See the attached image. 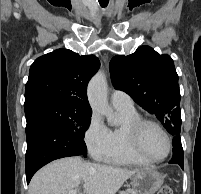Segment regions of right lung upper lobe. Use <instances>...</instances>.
<instances>
[{
	"label": "right lung upper lobe",
	"mask_w": 201,
	"mask_h": 194,
	"mask_svg": "<svg viewBox=\"0 0 201 194\" xmlns=\"http://www.w3.org/2000/svg\"><path fill=\"white\" fill-rule=\"evenodd\" d=\"M99 66L96 56H80L68 49H58L37 58L30 67L25 104L41 98H55L92 114L87 84Z\"/></svg>",
	"instance_id": "cb5924a9"
}]
</instances>
